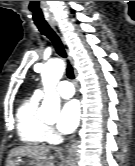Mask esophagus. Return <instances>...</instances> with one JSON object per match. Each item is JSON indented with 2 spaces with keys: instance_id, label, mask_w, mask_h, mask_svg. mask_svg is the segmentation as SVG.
Listing matches in <instances>:
<instances>
[{
  "instance_id": "obj_1",
  "label": "esophagus",
  "mask_w": 135,
  "mask_h": 166,
  "mask_svg": "<svg viewBox=\"0 0 135 166\" xmlns=\"http://www.w3.org/2000/svg\"><path fill=\"white\" fill-rule=\"evenodd\" d=\"M49 24L52 27V29L56 32V34L60 37V39L62 40L63 44L65 45V40H64L62 31H61L58 23H56L54 21H51Z\"/></svg>"
}]
</instances>
